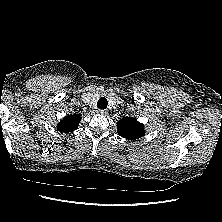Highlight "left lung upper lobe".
I'll return each mask as SVG.
<instances>
[{
	"mask_svg": "<svg viewBox=\"0 0 222 222\" xmlns=\"http://www.w3.org/2000/svg\"><path fill=\"white\" fill-rule=\"evenodd\" d=\"M117 133L128 140L141 138L144 134L143 125L134 118L126 117L117 122Z\"/></svg>",
	"mask_w": 222,
	"mask_h": 222,
	"instance_id": "1",
	"label": "left lung upper lobe"
}]
</instances>
